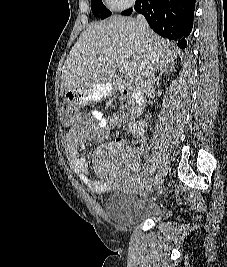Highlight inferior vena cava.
<instances>
[{
    "label": "inferior vena cava",
    "instance_id": "obj_1",
    "mask_svg": "<svg viewBox=\"0 0 227 267\" xmlns=\"http://www.w3.org/2000/svg\"><path fill=\"white\" fill-rule=\"evenodd\" d=\"M137 28L143 39L148 37L150 32L149 25L145 17L138 14L136 17ZM156 83L154 64H149L147 70L144 73L143 80L141 81V86L145 93L154 91Z\"/></svg>",
    "mask_w": 227,
    "mask_h": 267
}]
</instances>
